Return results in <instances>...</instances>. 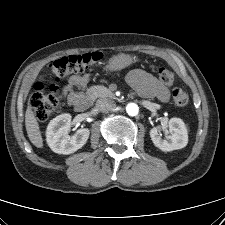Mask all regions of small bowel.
Listing matches in <instances>:
<instances>
[{
    "label": "small bowel",
    "instance_id": "1",
    "mask_svg": "<svg viewBox=\"0 0 225 225\" xmlns=\"http://www.w3.org/2000/svg\"><path fill=\"white\" fill-rule=\"evenodd\" d=\"M90 79L91 77L87 74L69 77L62 89L64 99L68 105L74 106L83 97V90ZM127 80L136 93L142 97H156L162 102L169 99V90L166 84L145 70L136 69L131 71L127 76Z\"/></svg>",
    "mask_w": 225,
    "mask_h": 225
}]
</instances>
